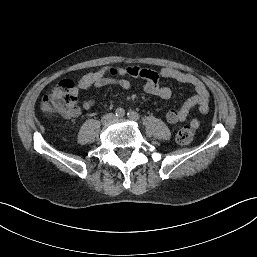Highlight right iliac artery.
Segmentation results:
<instances>
[{
	"instance_id": "1",
	"label": "right iliac artery",
	"mask_w": 257,
	"mask_h": 257,
	"mask_svg": "<svg viewBox=\"0 0 257 257\" xmlns=\"http://www.w3.org/2000/svg\"><path fill=\"white\" fill-rule=\"evenodd\" d=\"M125 115V111L122 108H118L116 110V116L117 117H123Z\"/></svg>"
}]
</instances>
